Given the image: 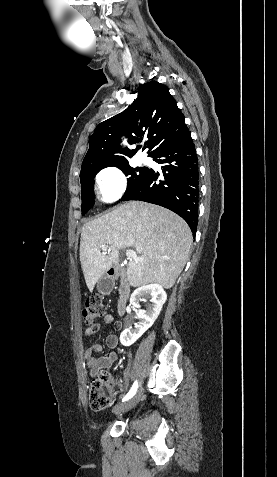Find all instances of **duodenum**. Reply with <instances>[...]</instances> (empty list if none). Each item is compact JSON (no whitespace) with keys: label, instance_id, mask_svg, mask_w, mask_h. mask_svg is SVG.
<instances>
[{"label":"duodenum","instance_id":"obj_1","mask_svg":"<svg viewBox=\"0 0 277 477\" xmlns=\"http://www.w3.org/2000/svg\"><path fill=\"white\" fill-rule=\"evenodd\" d=\"M108 288H111L116 281H119V298L117 301V312L124 315L128 307L130 297V287L127 274L120 267H113L107 271Z\"/></svg>","mask_w":277,"mask_h":477}]
</instances>
